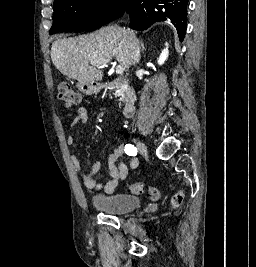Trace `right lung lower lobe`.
Instances as JSON below:
<instances>
[{
  "label": "right lung lower lobe",
  "instance_id": "1",
  "mask_svg": "<svg viewBox=\"0 0 256 267\" xmlns=\"http://www.w3.org/2000/svg\"><path fill=\"white\" fill-rule=\"evenodd\" d=\"M189 0H131L125 12L130 18V28L145 30L152 24L170 21L183 41L187 24Z\"/></svg>",
  "mask_w": 256,
  "mask_h": 267
}]
</instances>
